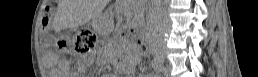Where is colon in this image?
<instances>
[{
    "label": "colon",
    "mask_w": 258,
    "mask_h": 77,
    "mask_svg": "<svg viewBox=\"0 0 258 77\" xmlns=\"http://www.w3.org/2000/svg\"><path fill=\"white\" fill-rule=\"evenodd\" d=\"M52 13L50 9H46L42 20V28L49 29L51 24ZM96 35L86 29L79 30L72 38L71 41L63 42L64 48H71L76 51H87L96 44Z\"/></svg>",
    "instance_id": "colon-1"
}]
</instances>
